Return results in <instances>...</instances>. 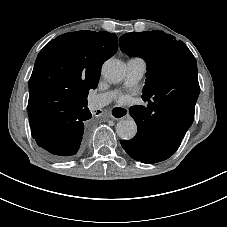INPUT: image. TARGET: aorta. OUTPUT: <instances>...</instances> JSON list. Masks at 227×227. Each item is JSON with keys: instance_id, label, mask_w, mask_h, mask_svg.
<instances>
[{"instance_id": "aorta-1", "label": "aorta", "mask_w": 227, "mask_h": 227, "mask_svg": "<svg viewBox=\"0 0 227 227\" xmlns=\"http://www.w3.org/2000/svg\"><path fill=\"white\" fill-rule=\"evenodd\" d=\"M102 75L108 81L118 83L125 76V66L120 60L109 58L102 66ZM116 131L121 139L131 140L137 133V125L133 119L121 120L117 123Z\"/></svg>"}]
</instances>
